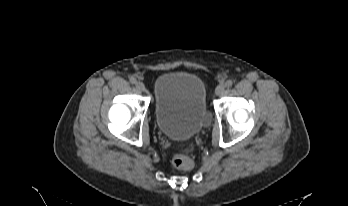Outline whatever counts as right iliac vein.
I'll use <instances>...</instances> for the list:
<instances>
[{"label": "right iliac vein", "instance_id": "right-iliac-vein-1", "mask_svg": "<svg viewBox=\"0 0 348 206\" xmlns=\"http://www.w3.org/2000/svg\"><path fill=\"white\" fill-rule=\"evenodd\" d=\"M136 89L138 90V91H140V92H143L144 90H145V85H144V83L143 82H137L136 83Z\"/></svg>", "mask_w": 348, "mask_h": 206}]
</instances>
